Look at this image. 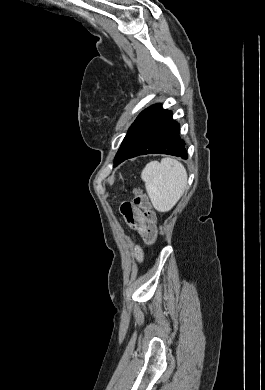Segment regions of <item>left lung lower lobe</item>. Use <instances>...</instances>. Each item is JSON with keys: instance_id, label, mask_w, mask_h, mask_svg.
I'll list each match as a JSON object with an SVG mask.
<instances>
[{"instance_id": "0a47b994", "label": "left lung lower lobe", "mask_w": 265, "mask_h": 390, "mask_svg": "<svg viewBox=\"0 0 265 390\" xmlns=\"http://www.w3.org/2000/svg\"><path fill=\"white\" fill-rule=\"evenodd\" d=\"M146 154L188 158L185 142L179 136V124L172 119V112L164 110L161 104L152 105L139 114L114 166Z\"/></svg>"}]
</instances>
